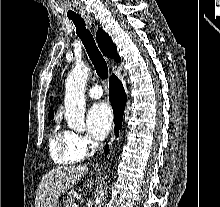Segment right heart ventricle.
<instances>
[{
	"label": "right heart ventricle",
	"instance_id": "right-heart-ventricle-1",
	"mask_svg": "<svg viewBox=\"0 0 220 207\" xmlns=\"http://www.w3.org/2000/svg\"><path fill=\"white\" fill-rule=\"evenodd\" d=\"M49 153L58 165H72L85 156V151L75 141L74 133L60 127H56L50 135Z\"/></svg>",
	"mask_w": 220,
	"mask_h": 207
}]
</instances>
